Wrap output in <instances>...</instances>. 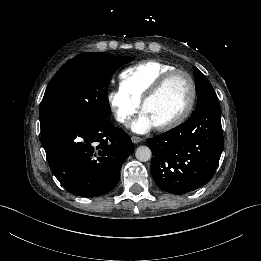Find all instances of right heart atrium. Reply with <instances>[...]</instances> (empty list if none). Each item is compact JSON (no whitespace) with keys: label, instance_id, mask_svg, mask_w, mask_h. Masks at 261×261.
<instances>
[{"label":"right heart atrium","instance_id":"right-heart-atrium-1","mask_svg":"<svg viewBox=\"0 0 261 261\" xmlns=\"http://www.w3.org/2000/svg\"><path fill=\"white\" fill-rule=\"evenodd\" d=\"M107 102L115 119L124 126L132 122L140 109V103L121 88L110 90L107 94Z\"/></svg>","mask_w":261,"mask_h":261}]
</instances>
